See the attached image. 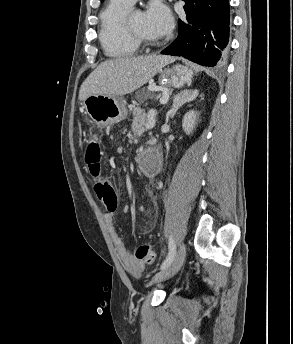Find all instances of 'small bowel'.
Here are the masks:
<instances>
[{"mask_svg":"<svg viewBox=\"0 0 293 344\" xmlns=\"http://www.w3.org/2000/svg\"><path fill=\"white\" fill-rule=\"evenodd\" d=\"M114 219H115V212L110 211L105 215V221L109 227L111 237L114 243V246L116 248V251L123 262V264L129 269L133 275L140 276L144 265L141 261L137 260L132 256V254L127 249L123 238L121 235L117 232L115 225H114Z\"/></svg>","mask_w":293,"mask_h":344,"instance_id":"1","label":"small bowel"}]
</instances>
